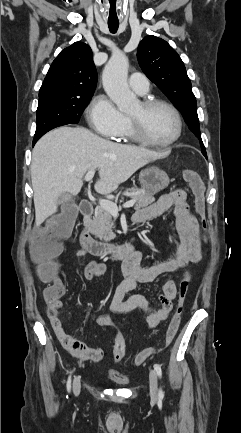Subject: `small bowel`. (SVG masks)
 Here are the masks:
<instances>
[{"label": "small bowel", "mask_w": 241, "mask_h": 433, "mask_svg": "<svg viewBox=\"0 0 241 433\" xmlns=\"http://www.w3.org/2000/svg\"><path fill=\"white\" fill-rule=\"evenodd\" d=\"M171 209H173L175 226L180 238L174 256L160 263L144 266L142 255L136 252L124 263L125 279L118 285L109 303L110 310L117 314H126L135 309H141L147 314L149 329H154L168 318L177 293L174 281L167 280L163 284L162 290L157 297L158 306L156 307L151 306L147 298L142 294H134L128 300H124L125 295L140 284L153 282L162 274L185 268L190 263H198L201 261L204 252L202 235L204 225L191 214L187 194L182 189H176L162 195L155 203L136 212L134 218H140L141 222H145L153 220ZM77 255L85 256L87 252L81 249ZM106 270L105 263L92 260L84 267V276L88 281H93L105 274ZM55 285L61 286L62 291L54 299L47 300V316L59 342L77 360L101 361L103 358L101 348L89 346L65 332L58 311L63 307L61 297L65 295L66 289L60 280H57ZM95 323L101 327L111 326L112 320L108 314H100L96 317Z\"/></svg>", "instance_id": "small-bowel-1"}]
</instances>
